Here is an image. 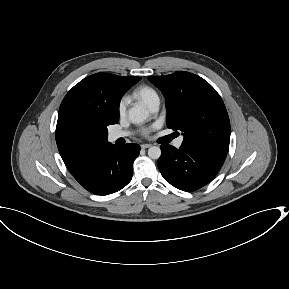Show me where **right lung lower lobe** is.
<instances>
[{
  "label": "right lung lower lobe",
  "mask_w": 289,
  "mask_h": 289,
  "mask_svg": "<svg viewBox=\"0 0 289 289\" xmlns=\"http://www.w3.org/2000/svg\"><path fill=\"white\" fill-rule=\"evenodd\" d=\"M139 152L140 146L135 143L111 145L89 158L73 176L93 194L117 192L131 181L133 162Z\"/></svg>",
  "instance_id": "right-lung-lower-lobe-1"
}]
</instances>
